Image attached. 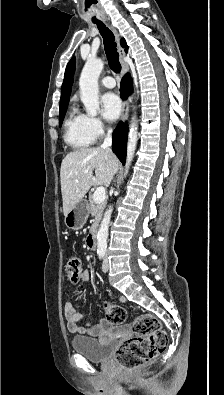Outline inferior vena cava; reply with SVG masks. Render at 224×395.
Here are the masks:
<instances>
[{
    "label": "inferior vena cava",
    "mask_w": 224,
    "mask_h": 395,
    "mask_svg": "<svg viewBox=\"0 0 224 395\" xmlns=\"http://www.w3.org/2000/svg\"><path fill=\"white\" fill-rule=\"evenodd\" d=\"M112 130L109 129L107 132V137L105 138L101 148L110 150V146L112 144V137H111Z\"/></svg>",
    "instance_id": "obj_1"
}]
</instances>
